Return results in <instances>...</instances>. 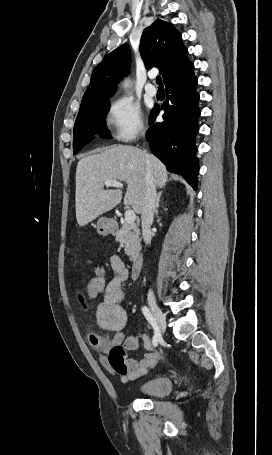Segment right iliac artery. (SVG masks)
I'll list each match as a JSON object with an SVG mask.
<instances>
[{"mask_svg":"<svg viewBox=\"0 0 272 455\" xmlns=\"http://www.w3.org/2000/svg\"><path fill=\"white\" fill-rule=\"evenodd\" d=\"M142 312H143L144 316L146 317L147 321L151 324V326L154 329V336L152 339V343H153V346L156 347L158 345L159 341L162 339L159 328L157 326V323H156L152 313L146 306L142 307Z\"/></svg>","mask_w":272,"mask_h":455,"instance_id":"82829eb1","label":"right iliac artery"}]
</instances>
